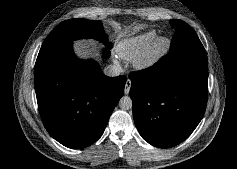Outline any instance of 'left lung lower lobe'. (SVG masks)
<instances>
[{
	"label": "left lung lower lobe",
	"mask_w": 237,
	"mask_h": 169,
	"mask_svg": "<svg viewBox=\"0 0 237 169\" xmlns=\"http://www.w3.org/2000/svg\"><path fill=\"white\" fill-rule=\"evenodd\" d=\"M135 125L148 143L170 148L201 121L208 98L206 55H189L129 74Z\"/></svg>",
	"instance_id": "left-lung-lower-lobe-1"
}]
</instances>
